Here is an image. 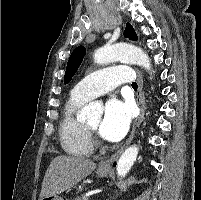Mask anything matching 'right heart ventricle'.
Listing matches in <instances>:
<instances>
[{"label": "right heart ventricle", "mask_w": 201, "mask_h": 200, "mask_svg": "<svg viewBox=\"0 0 201 200\" xmlns=\"http://www.w3.org/2000/svg\"><path fill=\"white\" fill-rule=\"evenodd\" d=\"M88 100L71 93L66 101L59 124V139L63 150L72 156H88L93 150L85 124L78 112Z\"/></svg>", "instance_id": "1"}]
</instances>
